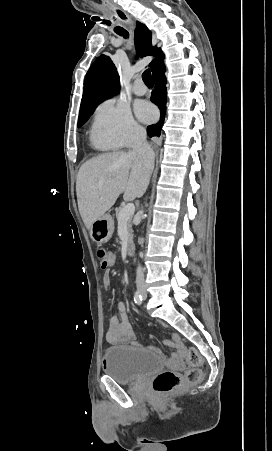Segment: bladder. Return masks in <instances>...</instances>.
<instances>
[{"label":"bladder","instance_id":"31cf9c89","mask_svg":"<svg viewBox=\"0 0 272 451\" xmlns=\"http://www.w3.org/2000/svg\"><path fill=\"white\" fill-rule=\"evenodd\" d=\"M107 376H112L119 384H131L142 380L154 372L161 371L162 357L147 354L133 347L115 345L108 347L103 354Z\"/></svg>","mask_w":272,"mask_h":451}]
</instances>
